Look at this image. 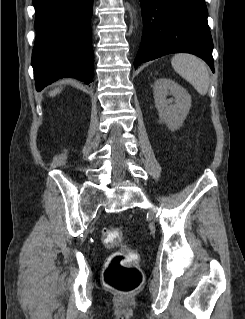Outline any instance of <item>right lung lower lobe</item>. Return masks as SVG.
<instances>
[{"label":"right lung lower lobe","mask_w":245,"mask_h":319,"mask_svg":"<svg viewBox=\"0 0 245 319\" xmlns=\"http://www.w3.org/2000/svg\"><path fill=\"white\" fill-rule=\"evenodd\" d=\"M93 0H33L36 40L32 66L37 91L63 77L93 81L90 18Z\"/></svg>","instance_id":"right-lung-lower-lobe-1"}]
</instances>
